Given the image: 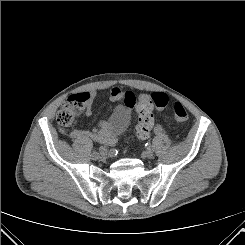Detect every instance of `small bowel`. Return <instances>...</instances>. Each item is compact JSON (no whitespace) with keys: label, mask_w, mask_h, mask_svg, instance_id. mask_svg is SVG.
<instances>
[{"label":"small bowel","mask_w":245,"mask_h":245,"mask_svg":"<svg viewBox=\"0 0 245 245\" xmlns=\"http://www.w3.org/2000/svg\"><path fill=\"white\" fill-rule=\"evenodd\" d=\"M107 98L111 102H117L123 100L125 107L127 109V114L130 116L132 113L135 104H136V95L133 90H123L119 87H113ZM90 109L88 108L86 114H90ZM72 138L78 139L87 137L92 139L95 142L103 144H112L115 142L116 136L112 135L109 131L105 130L102 125L98 128H94L90 131L87 130H72L70 132Z\"/></svg>","instance_id":"small-bowel-1"}]
</instances>
